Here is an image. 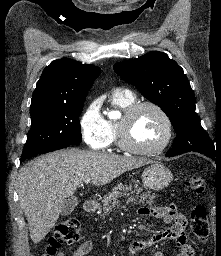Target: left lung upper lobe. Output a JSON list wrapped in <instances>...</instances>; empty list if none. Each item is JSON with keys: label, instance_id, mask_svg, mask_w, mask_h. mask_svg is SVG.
<instances>
[{"label": "left lung upper lobe", "instance_id": "left-lung-upper-lobe-1", "mask_svg": "<svg viewBox=\"0 0 221 256\" xmlns=\"http://www.w3.org/2000/svg\"><path fill=\"white\" fill-rule=\"evenodd\" d=\"M114 71L166 113L177 133L173 149L193 145L214 147L195 112L194 92L183 69L166 53L151 51L116 63Z\"/></svg>", "mask_w": 221, "mask_h": 256}]
</instances>
